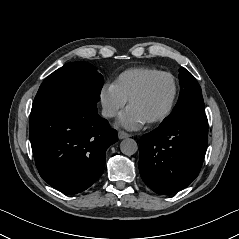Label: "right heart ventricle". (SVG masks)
<instances>
[{
  "instance_id": "obj_1",
  "label": "right heart ventricle",
  "mask_w": 239,
  "mask_h": 239,
  "mask_svg": "<svg viewBox=\"0 0 239 239\" xmlns=\"http://www.w3.org/2000/svg\"><path fill=\"white\" fill-rule=\"evenodd\" d=\"M159 71L147 67H134L123 71L115 79L114 85L120 95L128 100L131 94L136 91L149 77Z\"/></svg>"
}]
</instances>
